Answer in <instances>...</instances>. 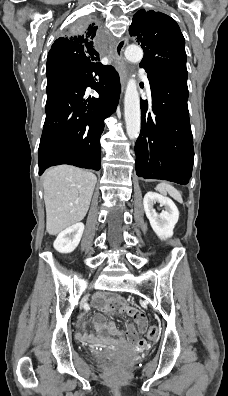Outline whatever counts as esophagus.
<instances>
[{
  "label": "esophagus",
  "mask_w": 228,
  "mask_h": 396,
  "mask_svg": "<svg viewBox=\"0 0 228 396\" xmlns=\"http://www.w3.org/2000/svg\"><path fill=\"white\" fill-rule=\"evenodd\" d=\"M126 43H127V38H122L119 40V42L115 47V66L120 76L122 89L125 88L128 77L126 63L123 58V51Z\"/></svg>",
  "instance_id": "obj_1"
}]
</instances>
